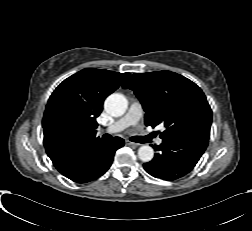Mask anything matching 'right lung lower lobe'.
<instances>
[{
	"mask_svg": "<svg viewBox=\"0 0 252 231\" xmlns=\"http://www.w3.org/2000/svg\"><path fill=\"white\" fill-rule=\"evenodd\" d=\"M124 145L119 137L111 141H91L83 144L77 151L71 169L63 174L77 183H86L103 175L111 166L117 149Z\"/></svg>",
	"mask_w": 252,
	"mask_h": 231,
	"instance_id": "right-lung-lower-lobe-1",
	"label": "right lung lower lobe"
}]
</instances>
